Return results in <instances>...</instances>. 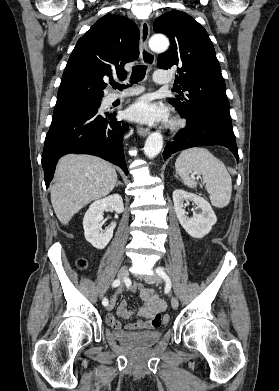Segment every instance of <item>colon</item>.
<instances>
[{
  "label": "colon",
  "instance_id": "colon-1",
  "mask_svg": "<svg viewBox=\"0 0 279 391\" xmlns=\"http://www.w3.org/2000/svg\"><path fill=\"white\" fill-rule=\"evenodd\" d=\"M76 265L79 269H85L87 267V262L85 259L83 258H79L77 261H76ZM163 321L164 323H167L169 321V315H164L163 316Z\"/></svg>",
  "mask_w": 279,
  "mask_h": 391
}]
</instances>
